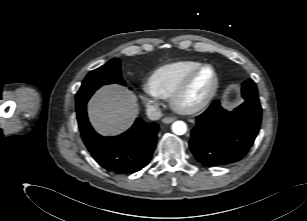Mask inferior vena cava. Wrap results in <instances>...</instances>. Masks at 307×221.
<instances>
[{"label":"inferior vena cava","mask_w":307,"mask_h":221,"mask_svg":"<svg viewBox=\"0 0 307 221\" xmlns=\"http://www.w3.org/2000/svg\"><path fill=\"white\" fill-rule=\"evenodd\" d=\"M146 113H147V116L150 120H158L162 116L160 108L158 106H154V105L149 106L146 109Z\"/></svg>","instance_id":"1"}]
</instances>
